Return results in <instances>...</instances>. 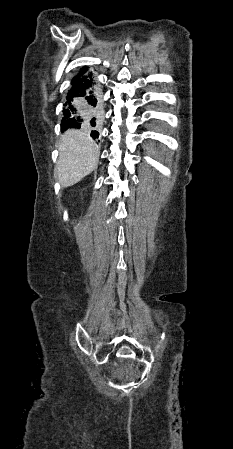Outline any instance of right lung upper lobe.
I'll return each mask as SVG.
<instances>
[{
	"instance_id": "right-lung-upper-lobe-1",
	"label": "right lung upper lobe",
	"mask_w": 233,
	"mask_h": 449,
	"mask_svg": "<svg viewBox=\"0 0 233 449\" xmlns=\"http://www.w3.org/2000/svg\"><path fill=\"white\" fill-rule=\"evenodd\" d=\"M83 71H85V68L83 70H81L80 73L83 72Z\"/></svg>"
}]
</instances>
